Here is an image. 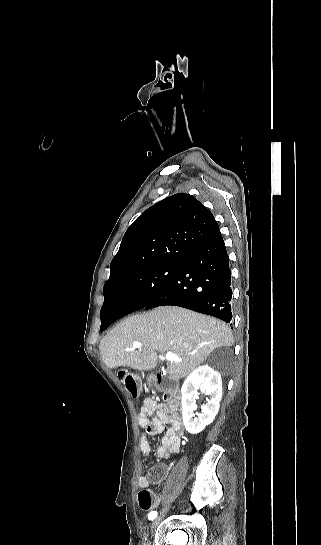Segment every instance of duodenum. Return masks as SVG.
Segmentation results:
<instances>
[{
    "mask_svg": "<svg viewBox=\"0 0 321 545\" xmlns=\"http://www.w3.org/2000/svg\"><path fill=\"white\" fill-rule=\"evenodd\" d=\"M149 381L151 385L162 392L164 400L173 402L179 399L178 387L166 376L154 374L150 377Z\"/></svg>",
    "mask_w": 321,
    "mask_h": 545,
    "instance_id": "obj_1",
    "label": "duodenum"
}]
</instances>
